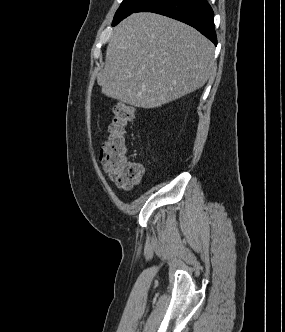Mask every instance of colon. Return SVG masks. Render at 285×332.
<instances>
[{
	"label": "colon",
	"instance_id": "1",
	"mask_svg": "<svg viewBox=\"0 0 285 332\" xmlns=\"http://www.w3.org/2000/svg\"><path fill=\"white\" fill-rule=\"evenodd\" d=\"M135 119L134 107L119 102L112 112L99 159L110 178L122 189H131L138 185L144 176V166L129 159L126 133Z\"/></svg>",
	"mask_w": 285,
	"mask_h": 332
}]
</instances>
